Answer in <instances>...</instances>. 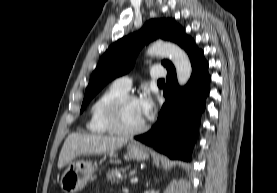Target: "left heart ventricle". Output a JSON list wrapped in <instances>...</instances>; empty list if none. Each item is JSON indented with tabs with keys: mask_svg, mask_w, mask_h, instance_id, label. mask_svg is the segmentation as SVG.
<instances>
[{
	"mask_svg": "<svg viewBox=\"0 0 277 193\" xmlns=\"http://www.w3.org/2000/svg\"><path fill=\"white\" fill-rule=\"evenodd\" d=\"M121 124L126 129H133L145 122L139 107L137 105V101L129 100L127 101L122 109L120 114Z\"/></svg>",
	"mask_w": 277,
	"mask_h": 193,
	"instance_id": "1",
	"label": "left heart ventricle"
}]
</instances>
